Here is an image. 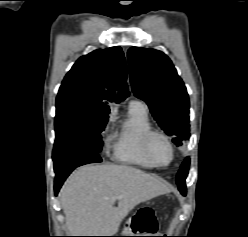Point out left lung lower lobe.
Segmentation results:
<instances>
[{
  "label": "left lung lower lobe",
  "instance_id": "0a47b994",
  "mask_svg": "<svg viewBox=\"0 0 248 237\" xmlns=\"http://www.w3.org/2000/svg\"><path fill=\"white\" fill-rule=\"evenodd\" d=\"M189 162H190V160H189V158H187V159L183 162V164H182L181 169H180L179 172L188 171V169H189ZM176 181H177V179H176ZM177 184H178V186H179V190H180L181 194H182V195H186V192H187V191H186V185H185V183H178V182H177Z\"/></svg>",
  "mask_w": 248,
  "mask_h": 237
}]
</instances>
